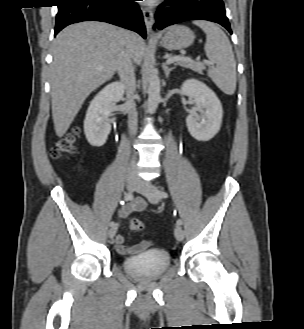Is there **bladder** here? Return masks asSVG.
I'll return each mask as SVG.
<instances>
[{
	"instance_id": "obj_1",
	"label": "bladder",
	"mask_w": 304,
	"mask_h": 329,
	"mask_svg": "<svg viewBox=\"0 0 304 329\" xmlns=\"http://www.w3.org/2000/svg\"><path fill=\"white\" fill-rule=\"evenodd\" d=\"M170 255L162 250H148L123 261L125 271L137 279H155L169 267Z\"/></svg>"
}]
</instances>
